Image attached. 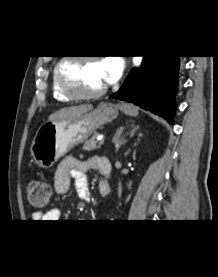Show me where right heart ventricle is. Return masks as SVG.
Masks as SVG:
<instances>
[{
  "instance_id": "1",
  "label": "right heart ventricle",
  "mask_w": 218,
  "mask_h": 277,
  "mask_svg": "<svg viewBox=\"0 0 218 277\" xmlns=\"http://www.w3.org/2000/svg\"><path fill=\"white\" fill-rule=\"evenodd\" d=\"M52 94L53 97L60 102H69L71 101L70 98H68L67 96H65L58 87L57 84V79H56V74H55V68L52 71Z\"/></svg>"
}]
</instances>
